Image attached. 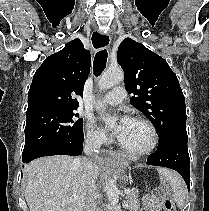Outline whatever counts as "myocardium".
Returning a JSON list of instances; mask_svg holds the SVG:
<instances>
[{
  "label": "myocardium",
  "instance_id": "obj_1",
  "mask_svg": "<svg viewBox=\"0 0 209 211\" xmlns=\"http://www.w3.org/2000/svg\"><path fill=\"white\" fill-rule=\"evenodd\" d=\"M133 121H136V122L143 124L148 129L149 134H150V141H149L148 145L143 149L132 150V149H128V148L124 147L119 142L118 147L120 148L121 151H123L124 153H126L130 156H134V157L146 156V155L152 153L155 150V148L158 144L157 129L154 126V124L149 119H147L145 117L136 116V117L133 118Z\"/></svg>",
  "mask_w": 209,
  "mask_h": 211
}]
</instances>
